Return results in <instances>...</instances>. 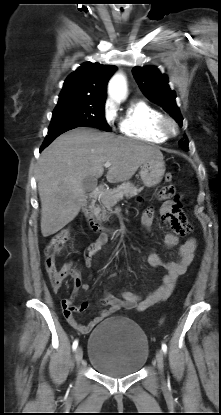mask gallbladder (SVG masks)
I'll return each instance as SVG.
<instances>
[{
	"label": "gallbladder",
	"mask_w": 221,
	"mask_h": 415,
	"mask_svg": "<svg viewBox=\"0 0 221 415\" xmlns=\"http://www.w3.org/2000/svg\"><path fill=\"white\" fill-rule=\"evenodd\" d=\"M97 185V180L94 177H86L82 181V186L86 192L92 191Z\"/></svg>",
	"instance_id": "gallbladder-1"
}]
</instances>
